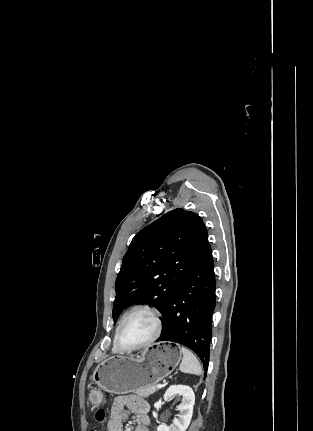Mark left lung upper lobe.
<instances>
[{
    "instance_id": "obj_1",
    "label": "left lung upper lobe",
    "mask_w": 313,
    "mask_h": 431,
    "mask_svg": "<svg viewBox=\"0 0 313 431\" xmlns=\"http://www.w3.org/2000/svg\"><path fill=\"white\" fill-rule=\"evenodd\" d=\"M208 246V232L193 212L174 209L133 238L116 279L113 320L135 303L161 314Z\"/></svg>"
}]
</instances>
